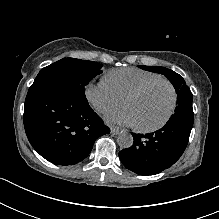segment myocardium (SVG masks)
Wrapping results in <instances>:
<instances>
[{"instance_id": "obj_1", "label": "myocardium", "mask_w": 219, "mask_h": 219, "mask_svg": "<svg viewBox=\"0 0 219 219\" xmlns=\"http://www.w3.org/2000/svg\"><path fill=\"white\" fill-rule=\"evenodd\" d=\"M158 83H166L171 89V102H170L168 111H167L165 117L163 118V120L160 123H158L157 125L150 126V127H142V126L136 125V130H138L139 132H144V133L154 132V131H157V130L163 128L167 124V122L170 120V118L174 112L175 106H176L177 93H176L175 86L168 79H165V78L154 79V80H151V81H148V82L142 84L141 86H139L135 90L131 91L123 100V107H125V103L128 100L139 96L140 94L145 92L148 88H150L153 85L158 84Z\"/></svg>"}]
</instances>
